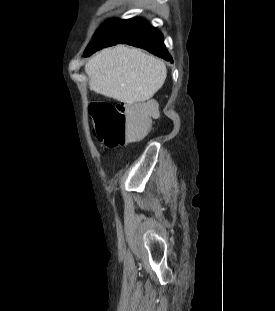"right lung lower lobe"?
Returning a JSON list of instances; mask_svg holds the SVG:
<instances>
[{
    "instance_id": "98d812e1",
    "label": "right lung lower lobe",
    "mask_w": 275,
    "mask_h": 311,
    "mask_svg": "<svg viewBox=\"0 0 275 311\" xmlns=\"http://www.w3.org/2000/svg\"><path fill=\"white\" fill-rule=\"evenodd\" d=\"M121 44L143 48L158 57L173 62L164 45L163 34L158 29L145 23L140 24Z\"/></svg>"
}]
</instances>
